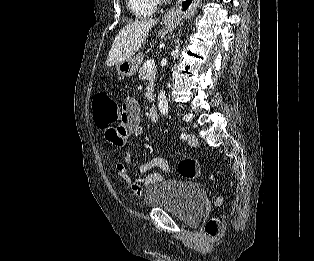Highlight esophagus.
I'll use <instances>...</instances> for the list:
<instances>
[{
    "instance_id": "34e87169",
    "label": "esophagus",
    "mask_w": 314,
    "mask_h": 261,
    "mask_svg": "<svg viewBox=\"0 0 314 261\" xmlns=\"http://www.w3.org/2000/svg\"><path fill=\"white\" fill-rule=\"evenodd\" d=\"M200 0H197V3H194L188 10H186V12H191L193 13L195 10H196V7L198 5ZM184 13V11L180 8V9H177L176 11H172L169 13V15H172V17L174 18L177 14H182Z\"/></svg>"
}]
</instances>
